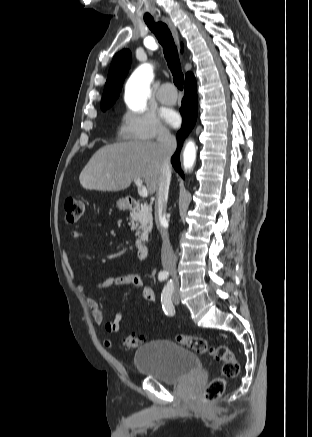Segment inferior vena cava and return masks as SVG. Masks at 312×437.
I'll use <instances>...</instances> for the list:
<instances>
[{"mask_svg":"<svg viewBox=\"0 0 312 437\" xmlns=\"http://www.w3.org/2000/svg\"><path fill=\"white\" fill-rule=\"evenodd\" d=\"M157 141L159 144L160 173L156 191L155 221L162 237L161 260L163 268L175 274L176 257L170 244L168 230L165 227L167 224L165 214L171 180L170 158L176 150L177 144L175 137L166 129L160 131Z\"/></svg>","mask_w":312,"mask_h":437,"instance_id":"1","label":"inferior vena cava"}]
</instances>
